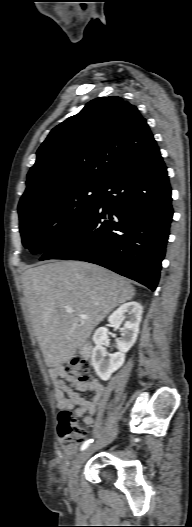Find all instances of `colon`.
Returning <instances> with one entry per match:
<instances>
[{
	"mask_svg": "<svg viewBox=\"0 0 192 527\" xmlns=\"http://www.w3.org/2000/svg\"><path fill=\"white\" fill-rule=\"evenodd\" d=\"M66 372L80 382L90 380V364L84 358L76 357L66 366ZM58 435L68 453H73L86 437V429L80 425L74 413L63 408L58 416Z\"/></svg>",
	"mask_w": 192,
	"mask_h": 527,
	"instance_id": "5ec220e1",
	"label": "colon"
}]
</instances>
